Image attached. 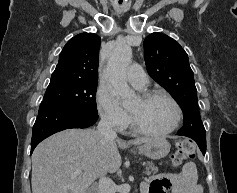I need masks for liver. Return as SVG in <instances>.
<instances>
[{"mask_svg":"<svg viewBox=\"0 0 237 193\" xmlns=\"http://www.w3.org/2000/svg\"><path fill=\"white\" fill-rule=\"evenodd\" d=\"M150 138L131 141L102 138L95 129H69L43 142L32 155V193H86L97 176L116 172L121 164L118 147L140 145ZM81 170L77 176L73 172Z\"/></svg>","mask_w":237,"mask_h":193,"instance_id":"6515ba94","label":"liver"}]
</instances>
